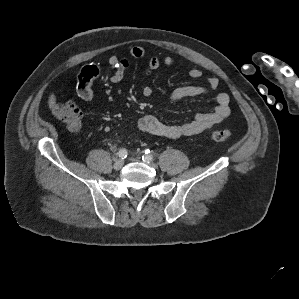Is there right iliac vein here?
Returning <instances> with one entry per match:
<instances>
[{"label":"right iliac vein","mask_w":299,"mask_h":299,"mask_svg":"<svg viewBox=\"0 0 299 299\" xmlns=\"http://www.w3.org/2000/svg\"><path fill=\"white\" fill-rule=\"evenodd\" d=\"M123 165H124L123 160H117L114 163L113 167H114L115 170H120L123 167Z\"/></svg>","instance_id":"63e3f726"}]
</instances>
